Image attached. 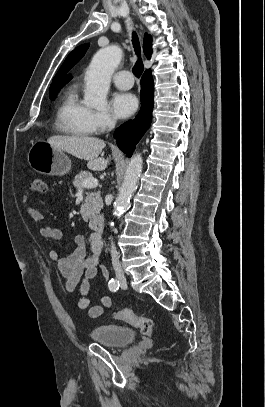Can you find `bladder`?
<instances>
[{"mask_svg":"<svg viewBox=\"0 0 265 407\" xmlns=\"http://www.w3.org/2000/svg\"><path fill=\"white\" fill-rule=\"evenodd\" d=\"M90 336L99 344L120 347L135 341L136 334L131 328L119 325H101L90 330Z\"/></svg>","mask_w":265,"mask_h":407,"instance_id":"1","label":"bladder"}]
</instances>
